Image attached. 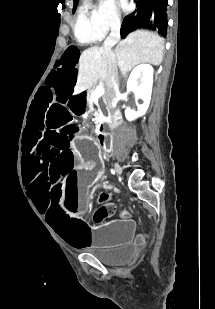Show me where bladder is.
Wrapping results in <instances>:
<instances>
[{"mask_svg": "<svg viewBox=\"0 0 215 309\" xmlns=\"http://www.w3.org/2000/svg\"><path fill=\"white\" fill-rule=\"evenodd\" d=\"M134 245L127 244L114 252L97 255L98 259L107 265L121 266L129 263L135 256Z\"/></svg>", "mask_w": 215, "mask_h": 309, "instance_id": "1", "label": "bladder"}]
</instances>
